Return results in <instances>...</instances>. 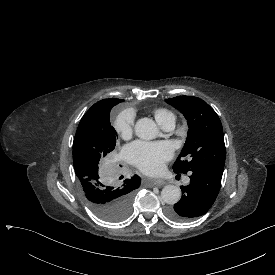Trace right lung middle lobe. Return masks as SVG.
<instances>
[{
    "mask_svg": "<svg viewBox=\"0 0 275 275\" xmlns=\"http://www.w3.org/2000/svg\"><path fill=\"white\" fill-rule=\"evenodd\" d=\"M110 110L87 111L82 117L73 143V164L87 205L100 218L119 221L129 214L141 178L130 179L124 168Z\"/></svg>",
    "mask_w": 275,
    "mask_h": 275,
    "instance_id": "right-lung-middle-lobe-1",
    "label": "right lung middle lobe"
}]
</instances>
